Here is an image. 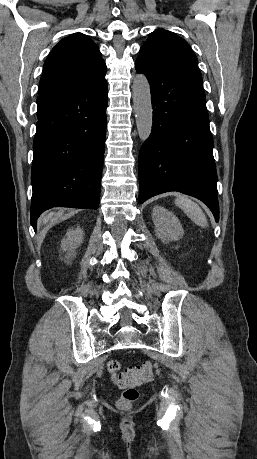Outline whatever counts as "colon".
<instances>
[{"label": "colon", "instance_id": "obj_1", "mask_svg": "<svg viewBox=\"0 0 257 459\" xmlns=\"http://www.w3.org/2000/svg\"><path fill=\"white\" fill-rule=\"evenodd\" d=\"M107 370L111 374L114 383L124 389L122 395L117 400V407L128 410L138 399L137 387L152 379V364L145 362L141 365L130 366L125 371H121V364L116 359L107 362Z\"/></svg>", "mask_w": 257, "mask_h": 459}]
</instances>
